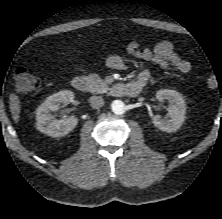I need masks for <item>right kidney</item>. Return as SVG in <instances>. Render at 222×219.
Returning <instances> with one entry per match:
<instances>
[{"label": "right kidney", "instance_id": "right-kidney-1", "mask_svg": "<svg viewBox=\"0 0 222 219\" xmlns=\"http://www.w3.org/2000/svg\"><path fill=\"white\" fill-rule=\"evenodd\" d=\"M74 93L69 90L60 91L49 97L36 109V127L37 129L51 137H62L71 132L77 125L76 117L54 119L51 114L57 111L62 103L72 102Z\"/></svg>", "mask_w": 222, "mask_h": 219}]
</instances>
